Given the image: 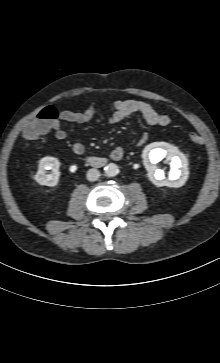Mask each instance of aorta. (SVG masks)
Listing matches in <instances>:
<instances>
[{"label":"aorta","instance_id":"1","mask_svg":"<svg viewBox=\"0 0 220 363\" xmlns=\"http://www.w3.org/2000/svg\"><path fill=\"white\" fill-rule=\"evenodd\" d=\"M105 174L109 177L116 176L119 173V168L116 164L110 163L104 168Z\"/></svg>","mask_w":220,"mask_h":363}]
</instances>
